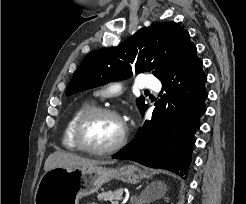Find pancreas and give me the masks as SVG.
Wrapping results in <instances>:
<instances>
[{
    "instance_id": "pancreas-1",
    "label": "pancreas",
    "mask_w": 246,
    "mask_h": 204,
    "mask_svg": "<svg viewBox=\"0 0 246 204\" xmlns=\"http://www.w3.org/2000/svg\"><path fill=\"white\" fill-rule=\"evenodd\" d=\"M123 193L122 189H117L116 191H108V192H102L98 195V200L108 202L120 199L121 195Z\"/></svg>"
}]
</instances>
